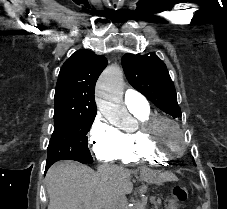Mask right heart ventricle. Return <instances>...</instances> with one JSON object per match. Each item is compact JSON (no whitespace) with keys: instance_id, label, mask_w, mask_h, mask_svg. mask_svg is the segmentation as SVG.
Returning a JSON list of instances; mask_svg holds the SVG:
<instances>
[{"instance_id":"obj_1","label":"right heart ventricle","mask_w":227,"mask_h":209,"mask_svg":"<svg viewBox=\"0 0 227 209\" xmlns=\"http://www.w3.org/2000/svg\"><path fill=\"white\" fill-rule=\"evenodd\" d=\"M131 112L139 123L152 115L148 106L145 108H132ZM121 138V146L114 160L123 165L157 164L166 160V158L151 151L143 143L138 129L133 132L123 131Z\"/></svg>"}]
</instances>
